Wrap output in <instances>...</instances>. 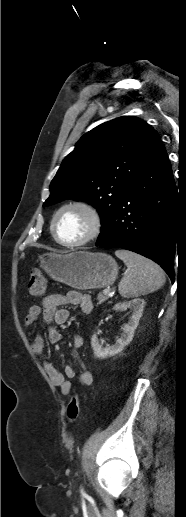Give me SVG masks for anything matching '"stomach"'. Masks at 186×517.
<instances>
[{
	"instance_id": "obj_1",
	"label": "stomach",
	"mask_w": 186,
	"mask_h": 517,
	"mask_svg": "<svg viewBox=\"0 0 186 517\" xmlns=\"http://www.w3.org/2000/svg\"><path fill=\"white\" fill-rule=\"evenodd\" d=\"M40 266L55 281L78 290L100 289L114 283L118 265L108 254L74 251L68 254L46 253Z\"/></svg>"
}]
</instances>
